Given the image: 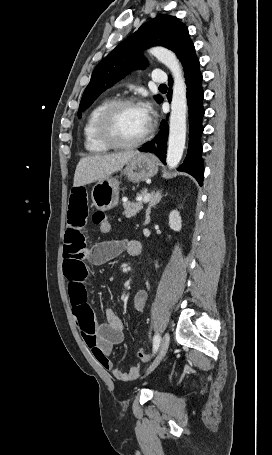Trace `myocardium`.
I'll list each match as a JSON object with an SVG mask.
<instances>
[{"instance_id":"1","label":"myocardium","mask_w":272,"mask_h":455,"mask_svg":"<svg viewBox=\"0 0 272 455\" xmlns=\"http://www.w3.org/2000/svg\"><path fill=\"white\" fill-rule=\"evenodd\" d=\"M127 106H139L132 98H119L111 101L100 113L96 130L99 139L107 146L114 149H133L142 145L150 135V127L148 126L144 134L135 141L123 142L117 138L112 127V121L115 113Z\"/></svg>"}]
</instances>
